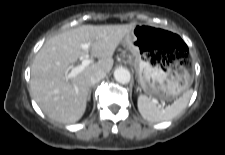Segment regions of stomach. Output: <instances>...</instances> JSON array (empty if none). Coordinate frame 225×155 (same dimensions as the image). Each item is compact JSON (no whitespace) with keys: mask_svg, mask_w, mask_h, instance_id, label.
I'll return each mask as SVG.
<instances>
[{"mask_svg":"<svg viewBox=\"0 0 225 155\" xmlns=\"http://www.w3.org/2000/svg\"><path fill=\"white\" fill-rule=\"evenodd\" d=\"M125 41L134 56L139 83L147 95L158 100H170L190 87L192 75L183 59L176 57L174 47L168 52L175 41L173 33L138 24L125 36Z\"/></svg>","mask_w":225,"mask_h":155,"instance_id":"stomach-1","label":"stomach"}]
</instances>
